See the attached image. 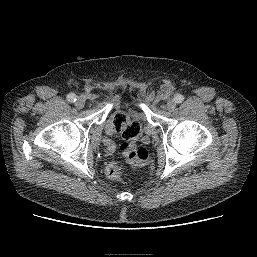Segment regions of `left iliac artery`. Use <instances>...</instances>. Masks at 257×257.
Segmentation results:
<instances>
[{"instance_id": "left-iliac-artery-1", "label": "left iliac artery", "mask_w": 257, "mask_h": 257, "mask_svg": "<svg viewBox=\"0 0 257 257\" xmlns=\"http://www.w3.org/2000/svg\"><path fill=\"white\" fill-rule=\"evenodd\" d=\"M183 100H184V96L181 95V94H176V95L174 96V101H175V103H181Z\"/></svg>"}]
</instances>
